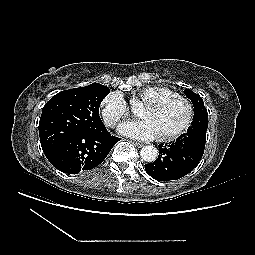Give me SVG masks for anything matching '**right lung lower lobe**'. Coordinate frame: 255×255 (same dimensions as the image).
Returning <instances> with one entry per match:
<instances>
[{
	"label": "right lung lower lobe",
	"mask_w": 255,
	"mask_h": 255,
	"mask_svg": "<svg viewBox=\"0 0 255 255\" xmlns=\"http://www.w3.org/2000/svg\"><path fill=\"white\" fill-rule=\"evenodd\" d=\"M119 140L106 128L98 133H76L66 138L47 159L62 172L78 174L102 163Z\"/></svg>",
	"instance_id": "obj_1"
}]
</instances>
